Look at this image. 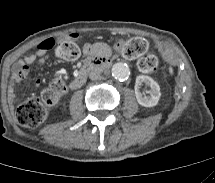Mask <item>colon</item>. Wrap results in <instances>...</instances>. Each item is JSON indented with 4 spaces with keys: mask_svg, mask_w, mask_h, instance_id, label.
Here are the masks:
<instances>
[{
    "mask_svg": "<svg viewBox=\"0 0 215 183\" xmlns=\"http://www.w3.org/2000/svg\"><path fill=\"white\" fill-rule=\"evenodd\" d=\"M52 42L41 43L42 47L50 48ZM116 50L126 59H137L138 68L143 73H152L158 68V59L155 55L147 54L149 43L141 37L131 38L127 41L117 42ZM55 53L59 58L74 60L78 58L80 49L72 40L60 42ZM66 91V85L62 80H55L42 90L40 96L31 98L20 104L15 111L18 123L27 128H37L47 119L50 110Z\"/></svg>",
    "mask_w": 215,
    "mask_h": 183,
    "instance_id": "5ec220e1",
    "label": "colon"
}]
</instances>
